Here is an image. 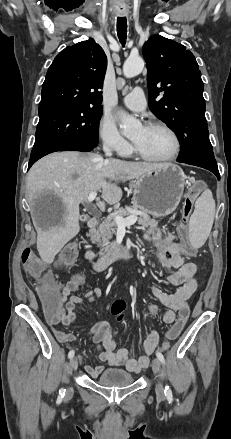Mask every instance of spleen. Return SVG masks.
I'll use <instances>...</instances> for the list:
<instances>
[{
    "instance_id": "obj_1",
    "label": "spleen",
    "mask_w": 231,
    "mask_h": 439,
    "mask_svg": "<svg viewBox=\"0 0 231 439\" xmlns=\"http://www.w3.org/2000/svg\"><path fill=\"white\" fill-rule=\"evenodd\" d=\"M215 201L211 190L206 189L195 202V209L189 221V239L193 247H201L212 229Z\"/></svg>"
}]
</instances>
